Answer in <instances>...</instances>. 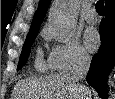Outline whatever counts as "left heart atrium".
I'll return each mask as SVG.
<instances>
[{"instance_id": "left-heart-atrium-1", "label": "left heart atrium", "mask_w": 115, "mask_h": 99, "mask_svg": "<svg viewBox=\"0 0 115 99\" xmlns=\"http://www.w3.org/2000/svg\"><path fill=\"white\" fill-rule=\"evenodd\" d=\"M84 42L90 51L96 50L100 42L98 32L94 28L87 29L84 34Z\"/></svg>"}]
</instances>
